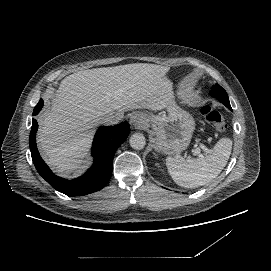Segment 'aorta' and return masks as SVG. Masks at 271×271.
I'll return each mask as SVG.
<instances>
[{
    "label": "aorta",
    "mask_w": 271,
    "mask_h": 271,
    "mask_svg": "<svg viewBox=\"0 0 271 271\" xmlns=\"http://www.w3.org/2000/svg\"><path fill=\"white\" fill-rule=\"evenodd\" d=\"M130 146L133 149L141 150L144 148L146 144V140L143 134L141 133H134L129 140Z\"/></svg>",
    "instance_id": "1"
}]
</instances>
